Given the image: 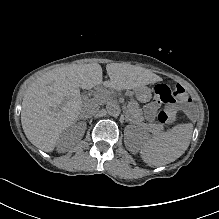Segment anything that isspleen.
<instances>
[{
    "mask_svg": "<svg viewBox=\"0 0 219 219\" xmlns=\"http://www.w3.org/2000/svg\"><path fill=\"white\" fill-rule=\"evenodd\" d=\"M192 132L191 124L179 125L163 134L156 133L154 139L141 141L143 159L153 166L175 161L187 150Z\"/></svg>",
    "mask_w": 219,
    "mask_h": 219,
    "instance_id": "spleen-1",
    "label": "spleen"
}]
</instances>
